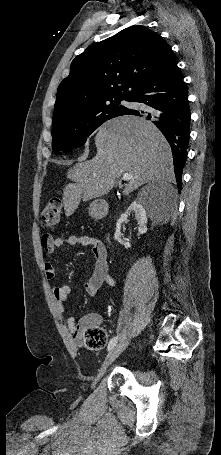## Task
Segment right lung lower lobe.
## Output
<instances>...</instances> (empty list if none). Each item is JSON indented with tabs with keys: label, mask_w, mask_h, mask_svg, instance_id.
Returning a JSON list of instances; mask_svg holds the SVG:
<instances>
[{
	"label": "right lung lower lobe",
	"mask_w": 221,
	"mask_h": 455,
	"mask_svg": "<svg viewBox=\"0 0 221 455\" xmlns=\"http://www.w3.org/2000/svg\"><path fill=\"white\" fill-rule=\"evenodd\" d=\"M183 78L175 55L172 50L167 51L130 97V102L143 103L146 108L129 109L125 113L144 116L162 131L172 149L179 191L188 153L191 116L188 90Z\"/></svg>",
	"instance_id": "1"
}]
</instances>
